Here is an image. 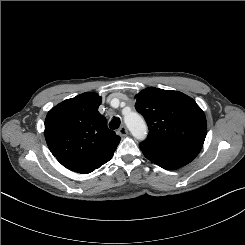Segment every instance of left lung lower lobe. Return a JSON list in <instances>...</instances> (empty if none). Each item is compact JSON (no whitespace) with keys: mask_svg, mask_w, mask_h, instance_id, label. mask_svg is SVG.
<instances>
[{"mask_svg":"<svg viewBox=\"0 0 245 245\" xmlns=\"http://www.w3.org/2000/svg\"><path fill=\"white\" fill-rule=\"evenodd\" d=\"M139 146L147 159L168 170L180 168L195 158L194 156L164 148L147 140L141 142Z\"/></svg>","mask_w":245,"mask_h":245,"instance_id":"obj_1","label":"left lung lower lobe"}]
</instances>
